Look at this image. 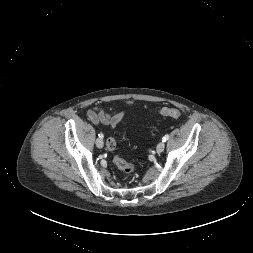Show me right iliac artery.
<instances>
[{
	"label": "right iliac artery",
	"mask_w": 253,
	"mask_h": 253,
	"mask_svg": "<svg viewBox=\"0 0 253 253\" xmlns=\"http://www.w3.org/2000/svg\"><path fill=\"white\" fill-rule=\"evenodd\" d=\"M98 136H99V138H103V134L102 133H99Z\"/></svg>",
	"instance_id": "right-iliac-artery-1"
}]
</instances>
